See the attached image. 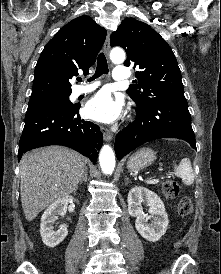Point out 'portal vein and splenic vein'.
Segmentation results:
<instances>
[{"label":"portal vein and splenic vein","mask_w":221,"mask_h":274,"mask_svg":"<svg viewBox=\"0 0 221 274\" xmlns=\"http://www.w3.org/2000/svg\"><path fill=\"white\" fill-rule=\"evenodd\" d=\"M158 182H159V179H151L147 181V183H151V184H156Z\"/></svg>","instance_id":"18ae733b"}]
</instances>
